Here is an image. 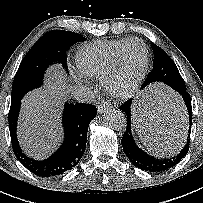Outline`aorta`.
Listing matches in <instances>:
<instances>
[{
    "mask_svg": "<svg viewBox=\"0 0 203 203\" xmlns=\"http://www.w3.org/2000/svg\"><path fill=\"white\" fill-rule=\"evenodd\" d=\"M104 123L111 129L119 131L126 128V118L118 109H108L104 113Z\"/></svg>",
    "mask_w": 203,
    "mask_h": 203,
    "instance_id": "obj_1",
    "label": "aorta"
}]
</instances>
